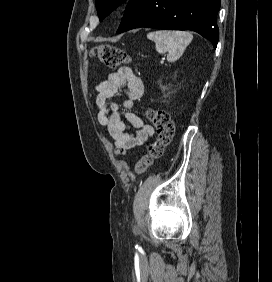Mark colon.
Returning <instances> with one entry per match:
<instances>
[{"mask_svg":"<svg viewBox=\"0 0 272 282\" xmlns=\"http://www.w3.org/2000/svg\"><path fill=\"white\" fill-rule=\"evenodd\" d=\"M92 56L107 67H118L130 62L124 50L108 44L96 46L92 50ZM147 118L155 127L157 138L148 145L146 154L137 162L138 172L145 171L163 156L165 148L172 142L175 133L174 123L166 111L150 110Z\"/></svg>","mask_w":272,"mask_h":282,"instance_id":"colon-1","label":"colon"}]
</instances>
